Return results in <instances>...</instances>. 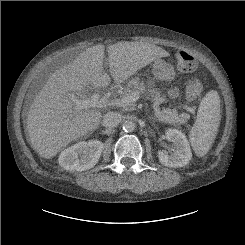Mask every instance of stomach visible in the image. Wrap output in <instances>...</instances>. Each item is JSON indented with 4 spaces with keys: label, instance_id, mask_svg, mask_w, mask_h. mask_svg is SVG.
<instances>
[{
    "label": "stomach",
    "instance_id": "1",
    "mask_svg": "<svg viewBox=\"0 0 245 245\" xmlns=\"http://www.w3.org/2000/svg\"><path fill=\"white\" fill-rule=\"evenodd\" d=\"M152 73L156 79L162 81H171L175 75L173 66L160 58L154 61Z\"/></svg>",
    "mask_w": 245,
    "mask_h": 245
}]
</instances>
